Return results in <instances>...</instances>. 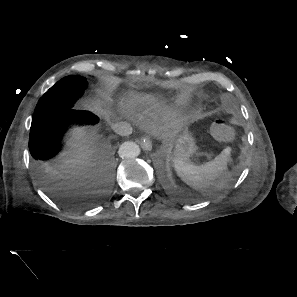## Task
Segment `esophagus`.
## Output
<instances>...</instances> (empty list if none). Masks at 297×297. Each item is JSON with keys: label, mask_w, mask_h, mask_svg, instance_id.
Segmentation results:
<instances>
[{"label": "esophagus", "mask_w": 297, "mask_h": 297, "mask_svg": "<svg viewBox=\"0 0 297 297\" xmlns=\"http://www.w3.org/2000/svg\"><path fill=\"white\" fill-rule=\"evenodd\" d=\"M140 145L145 151H151L152 149V142L148 135L143 136L140 140Z\"/></svg>", "instance_id": "1"}]
</instances>
